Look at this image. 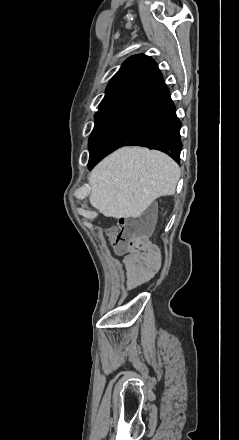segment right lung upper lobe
Masks as SVG:
<instances>
[{
  "label": "right lung upper lobe",
  "instance_id": "1",
  "mask_svg": "<svg viewBox=\"0 0 239 440\" xmlns=\"http://www.w3.org/2000/svg\"><path fill=\"white\" fill-rule=\"evenodd\" d=\"M161 81L162 74L151 57L143 54L131 56L110 80L100 104L118 99L132 100L150 91Z\"/></svg>",
  "mask_w": 239,
  "mask_h": 440
}]
</instances>
